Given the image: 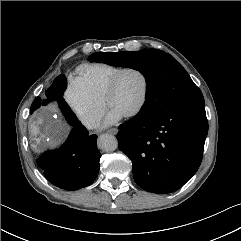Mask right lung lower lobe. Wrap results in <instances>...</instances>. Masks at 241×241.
Masks as SVG:
<instances>
[{
    "mask_svg": "<svg viewBox=\"0 0 241 241\" xmlns=\"http://www.w3.org/2000/svg\"><path fill=\"white\" fill-rule=\"evenodd\" d=\"M71 132L58 149L45 152L37 159L45 178L53 185L74 191L91 185L98 175L100 157L97 135H88L80 121L70 119Z\"/></svg>",
    "mask_w": 241,
    "mask_h": 241,
    "instance_id": "right-lung-lower-lobe-1",
    "label": "right lung lower lobe"
}]
</instances>
